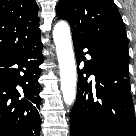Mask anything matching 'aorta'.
I'll return each instance as SVG.
<instances>
[{
  "instance_id": "1",
  "label": "aorta",
  "mask_w": 136,
  "mask_h": 136,
  "mask_svg": "<svg viewBox=\"0 0 136 136\" xmlns=\"http://www.w3.org/2000/svg\"><path fill=\"white\" fill-rule=\"evenodd\" d=\"M53 38L60 67L63 100L67 105H71L76 96L77 72L72 49L70 27L67 22L59 21L55 25Z\"/></svg>"
}]
</instances>
